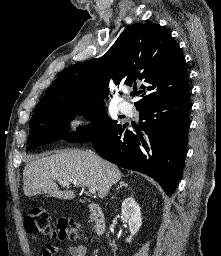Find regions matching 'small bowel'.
<instances>
[{
  "label": "small bowel",
  "instance_id": "1",
  "mask_svg": "<svg viewBox=\"0 0 221 256\" xmlns=\"http://www.w3.org/2000/svg\"><path fill=\"white\" fill-rule=\"evenodd\" d=\"M57 252L55 246H47L42 251V256H54ZM68 252L70 256H86L87 250L86 247L82 244L71 245L68 247Z\"/></svg>",
  "mask_w": 221,
  "mask_h": 256
}]
</instances>
